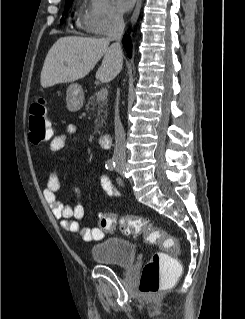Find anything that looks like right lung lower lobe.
<instances>
[{
  "mask_svg": "<svg viewBox=\"0 0 245 319\" xmlns=\"http://www.w3.org/2000/svg\"><path fill=\"white\" fill-rule=\"evenodd\" d=\"M123 45L127 51V55L130 57L131 56V39L129 38L128 35H125L123 37Z\"/></svg>",
  "mask_w": 245,
  "mask_h": 319,
  "instance_id": "1",
  "label": "right lung lower lobe"
}]
</instances>
